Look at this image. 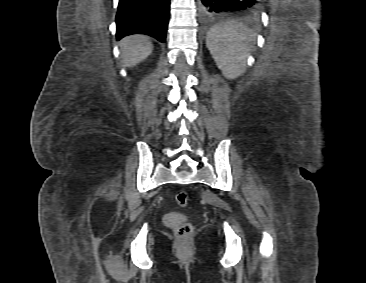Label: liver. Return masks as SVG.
<instances>
[{"label": "liver", "instance_id": "liver-1", "mask_svg": "<svg viewBox=\"0 0 366 283\" xmlns=\"http://www.w3.org/2000/svg\"><path fill=\"white\" fill-rule=\"evenodd\" d=\"M123 63L133 67L145 60L153 50V44L145 35L133 34L120 41Z\"/></svg>", "mask_w": 366, "mask_h": 283}]
</instances>
